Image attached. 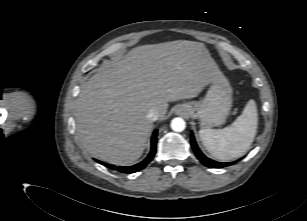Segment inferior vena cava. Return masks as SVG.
Instances as JSON below:
<instances>
[{
  "instance_id": "602c4592",
  "label": "inferior vena cava",
  "mask_w": 307,
  "mask_h": 221,
  "mask_svg": "<svg viewBox=\"0 0 307 221\" xmlns=\"http://www.w3.org/2000/svg\"><path fill=\"white\" fill-rule=\"evenodd\" d=\"M147 118L151 121H157L159 119V112L156 109H151L148 114Z\"/></svg>"
}]
</instances>
